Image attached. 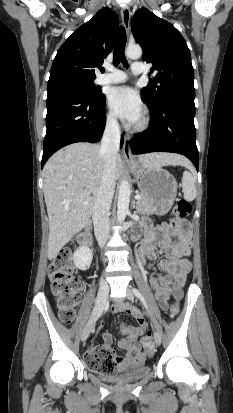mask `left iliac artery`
<instances>
[{
    "mask_svg": "<svg viewBox=\"0 0 233 413\" xmlns=\"http://www.w3.org/2000/svg\"><path fill=\"white\" fill-rule=\"evenodd\" d=\"M133 293H134V295L142 302V304L144 305L145 309L148 310L147 303H146L143 295L139 292V290L136 289V288H133Z\"/></svg>",
    "mask_w": 233,
    "mask_h": 413,
    "instance_id": "left-iliac-artery-1",
    "label": "left iliac artery"
}]
</instances>
